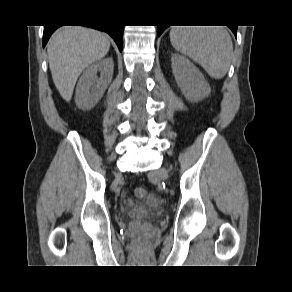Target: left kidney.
<instances>
[{
	"mask_svg": "<svg viewBox=\"0 0 292 292\" xmlns=\"http://www.w3.org/2000/svg\"><path fill=\"white\" fill-rule=\"evenodd\" d=\"M172 72L178 87L189 101H200L208 97L211 88L199 69L185 57L172 54Z\"/></svg>",
	"mask_w": 292,
	"mask_h": 292,
	"instance_id": "obj_1",
	"label": "left kidney"
}]
</instances>
